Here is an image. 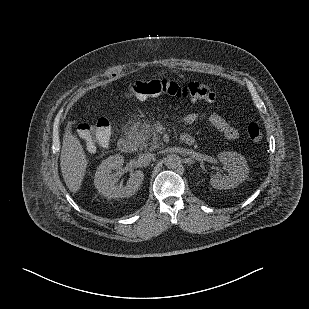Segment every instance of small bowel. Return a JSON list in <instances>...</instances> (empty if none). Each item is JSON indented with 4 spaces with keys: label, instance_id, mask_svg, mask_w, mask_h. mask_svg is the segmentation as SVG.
<instances>
[{
    "label": "small bowel",
    "instance_id": "1",
    "mask_svg": "<svg viewBox=\"0 0 309 309\" xmlns=\"http://www.w3.org/2000/svg\"><path fill=\"white\" fill-rule=\"evenodd\" d=\"M198 114L189 113L185 117L187 124H193L197 121ZM208 121L219 132H221L227 139L234 140L238 138V130L229 124L226 119L217 113H211L208 115Z\"/></svg>",
    "mask_w": 309,
    "mask_h": 309
}]
</instances>
